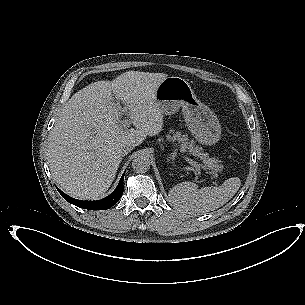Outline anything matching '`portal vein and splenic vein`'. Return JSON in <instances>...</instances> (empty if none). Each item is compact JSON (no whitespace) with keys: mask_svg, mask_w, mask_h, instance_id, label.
I'll return each mask as SVG.
<instances>
[{"mask_svg":"<svg viewBox=\"0 0 305 305\" xmlns=\"http://www.w3.org/2000/svg\"><path fill=\"white\" fill-rule=\"evenodd\" d=\"M131 124L129 119H124L123 121L120 122V125L124 128L128 127Z\"/></svg>","mask_w":305,"mask_h":305,"instance_id":"portal-vein-and-splenic-vein-1","label":"portal vein and splenic vein"}]
</instances>
